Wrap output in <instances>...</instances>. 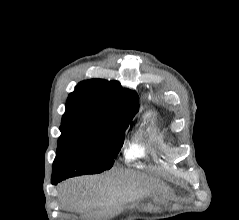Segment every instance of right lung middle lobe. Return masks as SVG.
Masks as SVG:
<instances>
[{
    "mask_svg": "<svg viewBox=\"0 0 239 220\" xmlns=\"http://www.w3.org/2000/svg\"><path fill=\"white\" fill-rule=\"evenodd\" d=\"M130 120L108 124L62 122L52 180L62 181L110 169L123 145V130Z\"/></svg>",
    "mask_w": 239,
    "mask_h": 220,
    "instance_id": "right-lung-middle-lobe-1",
    "label": "right lung middle lobe"
}]
</instances>
